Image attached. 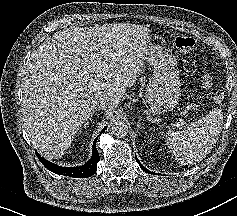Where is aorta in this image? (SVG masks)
Returning a JSON list of instances; mask_svg holds the SVG:
<instances>
[{"instance_id":"1","label":"aorta","mask_w":237,"mask_h":216,"mask_svg":"<svg viewBox=\"0 0 237 216\" xmlns=\"http://www.w3.org/2000/svg\"><path fill=\"white\" fill-rule=\"evenodd\" d=\"M111 132L113 136L117 138H123L128 133V126L125 122L116 120L111 127Z\"/></svg>"}]
</instances>
